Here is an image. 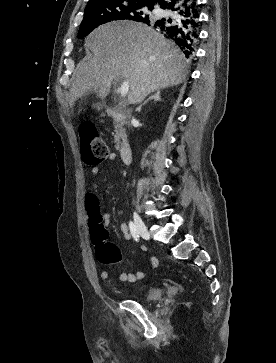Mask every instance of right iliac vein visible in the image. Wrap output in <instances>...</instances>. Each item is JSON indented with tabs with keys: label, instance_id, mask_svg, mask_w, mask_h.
<instances>
[{
	"label": "right iliac vein",
	"instance_id": "1",
	"mask_svg": "<svg viewBox=\"0 0 276 363\" xmlns=\"http://www.w3.org/2000/svg\"><path fill=\"white\" fill-rule=\"evenodd\" d=\"M134 224L136 226V229L138 233L141 235V237L145 240H148L150 238L149 231L143 222V220L140 218V216L137 213H134Z\"/></svg>",
	"mask_w": 276,
	"mask_h": 363
}]
</instances>
